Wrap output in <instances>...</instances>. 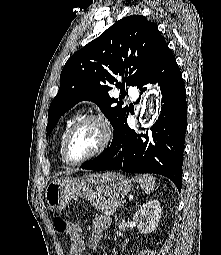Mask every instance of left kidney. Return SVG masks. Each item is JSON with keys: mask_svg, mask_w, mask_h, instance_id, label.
I'll return each instance as SVG.
<instances>
[{"mask_svg": "<svg viewBox=\"0 0 221 255\" xmlns=\"http://www.w3.org/2000/svg\"><path fill=\"white\" fill-rule=\"evenodd\" d=\"M162 209L158 200L144 203L134 214L133 221L142 234L151 233L158 226Z\"/></svg>", "mask_w": 221, "mask_h": 255, "instance_id": "left-kidney-1", "label": "left kidney"}]
</instances>
